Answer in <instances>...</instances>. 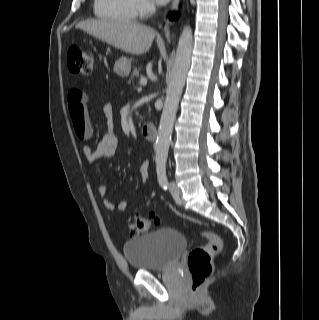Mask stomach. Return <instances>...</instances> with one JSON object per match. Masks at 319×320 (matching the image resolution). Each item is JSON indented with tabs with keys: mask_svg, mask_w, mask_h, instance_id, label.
Segmentation results:
<instances>
[{
	"mask_svg": "<svg viewBox=\"0 0 319 320\" xmlns=\"http://www.w3.org/2000/svg\"><path fill=\"white\" fill-rule=\"evenodd\" d=\"M131 71V61L126 57H121L115 62L114 72L121 78L128 77Z\"/></svg>",
	"mask_w": 319,
	"mask_h": 320,
	"instance_id": "0dacf381",
	"label": "stomach"
}]
</instances>
